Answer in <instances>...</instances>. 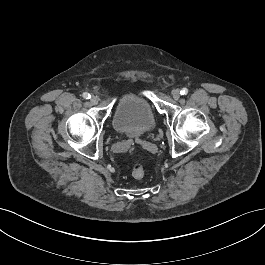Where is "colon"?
<instances>
[{"mask_svg": "<svg viewBox=\"0 0 265 265\" xmlns=\"http://www.w3.org/2000/svg\"><path fill=\"white\" fill-rule=\"evenodd\" d=\"M146 173L145 166L142 162H136L131 168V174L136 179H141Z\"/></svg>", "mask_w": 265, "mask_h": 265, "instance_id": "colon-1", "label": "colon"}]
</instances>
